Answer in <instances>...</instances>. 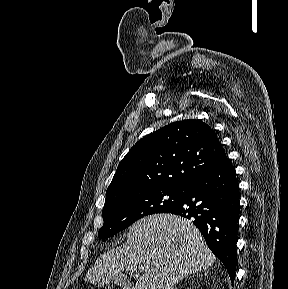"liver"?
<instances>
[{
    "label": "liver",
    "instance_id": "obj_1",
    "mask_svg": "<svg viewBox=\"0 0 288 289\" xmlns=\"http://www.w3.org/2000/svg\"><path fill=\"white\" fill-rule=\"evenodd\" d=\"M215 256L194 224L172 214H154L135 222L127 242L104 253L85 276L103 286L125 270L144 274L133 289H173L182 278L206 270Z\"/></svg>",
    "mask_w": 288,
    "mask_h": 289
}]
</instances>
